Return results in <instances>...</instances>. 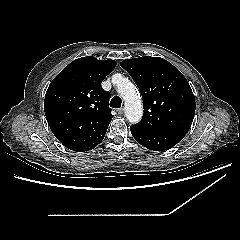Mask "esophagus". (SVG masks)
Instances as JSON below:
<instances>
[{"mask_svg":"<svg viewBox=\"0 0 240 240\" xmlns=\"http://www.w3.org/2000/svg\"><path fill=\"white\" fill-rule=\"evenodd\" d=\"M123 112H124V109H123V108H119V109L117 110V113H118L119 115H122Z\"/></svg>","mask_w":240,"mask_h":240,"instance_id":"34e87169","label":"esophagus"}]
</instances>
